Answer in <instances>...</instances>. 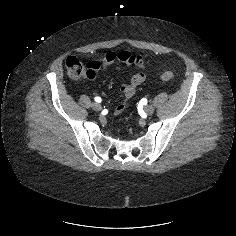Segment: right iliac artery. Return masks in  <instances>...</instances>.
I'll use <instances>...</instances> for the list:
<instances>
[{"instance_id": "1", "label": "right iliac artery", "mask_w": 236, "mask_h": 236, "mask_svg": "<svg viewBox=\"0 0 236 236\" xmlns=\"http://www.w3.org/2000/svg\"><path fill=\"white\" fill-rule=\"evenodd\" d=\"M94 100H95L96 102H98V103L101 102V98H100V97H95Z\"/></svg>"}]
</instances>
